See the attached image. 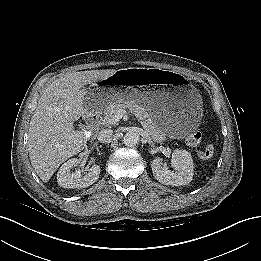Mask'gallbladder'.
I'll list each match as a JSON object with an SVG mask.
<instances>
[{
  "mask_svg": "<svg viewBox=\"0 0 261 261\" xmlns=\"http://www.w3.org/2000/svg\"><path fill=\"white\" fill-rule=\"evenodd\" d=\"M87 131V130H86ZM90 136V132L87 131V134H86V137H89Z\"/></svg>",
  "mask_w": 261,
  "mask_h": 261,
  "instance_id": "obj_1",
  "label": "gallbladder"
}]
</instances>
